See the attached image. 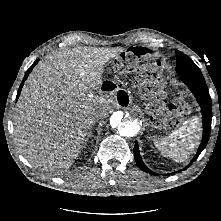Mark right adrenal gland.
<instances>
[{
    "label": "right adrenal gland",
    "mask_w": 221,
    "mask_h": 221,
    "mask_svg": "<svg viewBox=\"0 0 221 221\" xmlns=\"http://www.w3.org/2000/svg\"><path fill=\"white\" fill-rule=\"evenodd\" d=\"M91 137H92V130H90V131L88 132V135H87L86 141H88V139L91 138Z\"/></svg>",
    "instance_id": "obj_1"
}]
</instances>
